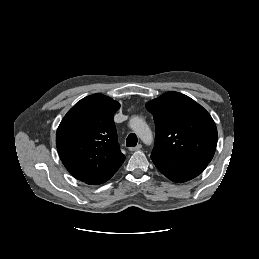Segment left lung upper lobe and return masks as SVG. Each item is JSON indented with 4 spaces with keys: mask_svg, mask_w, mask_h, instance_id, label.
<instances>
[{
    "mask_svg": "<svg viewBox=\"0 0 259 259\" xmlns=\"http://www.w3.org/2000/svg\"><path fill=\"white\" fill-rule=\"evenodd\" d=\"M156 138L153 151L183 160L210 162L217 144V128L210 114L190 97L167 92L149 101Z\"/></svg>",
    "mask_w": 259,
    "mask_h": 259,
    "instance_id": "5c2ea615",
    "label": "left lung upper lobe"
}]
</instances>
